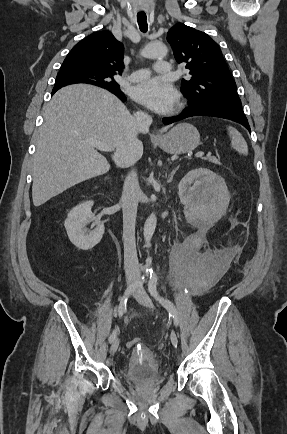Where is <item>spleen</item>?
I'll list each match as a JSON object with an SVG mask.
<instances>
[{
	"mask_svg": "<svg viewBox=\"0 0 287 434\" xmlns=\"http://www.w3.org/2000/svg\"><path fill=\"white\" fill-rule=\"evenodd\" d=\"M229 136L231 139V147L239 154L248 155V146L243 136L234 127H228Z\"/></svg>",
	"mask_w": 287,
	"mask_h": 434,
	"instance_id": "3e777b00",
	"label": "spleen"
}]
</instances>
